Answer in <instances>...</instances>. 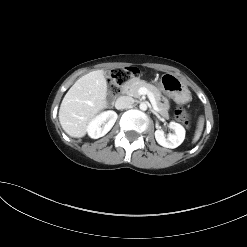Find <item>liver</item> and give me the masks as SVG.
Listing matches in <instances>:
<instances>
[{"label": "liver", "mask_w": 247, "mask_h": 247, "mask_svg": "<svg viewBox=\"0 0 247 247\" xmlns=\"http://www.w3.org/2000/svg\"><path fill=\"white\" fill-rule=\"evenodd\" d=\"M107 82L104 70L92 71L79 78L64 96L59 121L71 137H83L89 122L107 106Z\"/></svg>", "instance_id": "1"}]
</instances>
